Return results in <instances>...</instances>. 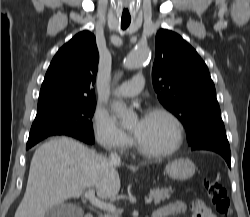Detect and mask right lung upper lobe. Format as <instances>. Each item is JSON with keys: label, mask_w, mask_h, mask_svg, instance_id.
Masks as SVG:
<instances>
[{"label": "right lung upper lobe", "mask_w": 250, "mask_h": 217, "mask_svg": "<svg viewBox=\"0 0 250 217\" xmlns=\"http://www.w3.org/2000/svg\"><path fill=\"white\" fill-rule=\"evenodd\" d=\"M99 54L89 31L75 35L54 56L41 86L37 111L95 101Z\"/></svg>", "instance_id": "1"}]
</instances>
